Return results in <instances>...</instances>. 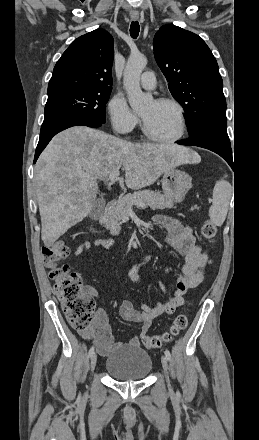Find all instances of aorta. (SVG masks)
<instances>
[{
    "label": "aorta",
    "mask_w": 259,
    "mask_h": 440,
    "mask_svg": "<svg viewBox=\"0 0 259 440\" xmlns=\"http://www.w3.org/2000/svg\"><path fill=\"white\" fill-rule=\"evenodd\" d=\"M146 65L147 59L143 54H131L124 70V87L134 111L144 109L153 101L152 95L144 93L140 88V76Z\"/></svg>",
    "instance_id": "aorta-1"
}]
</instances>
